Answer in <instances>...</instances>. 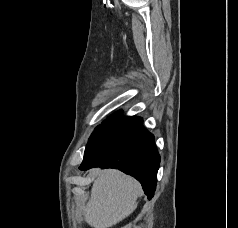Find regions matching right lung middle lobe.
I'll use <instances>...</instances> for the list:
<instances>
[{
    "instance_id": "1",
    "label": "right lung middle lobe",
    "mask_w": 238,
    "mask_h": 228,
    "mask_svg": "<svg viewBox=\"0 0 238 228\" xmlns=\"http://www.w3.org/2000/svg\"><path fill=\"white\" fill-rule=\"evenodd\" d=\"M118 118H120V117H118V116L109 117L101 125L97 126L95 128L94 132L92 133L90 140L93 139L99 132H101L105 127H107L110 123H112L113 121H115Z\"/></svg>"
}]
</instances>
